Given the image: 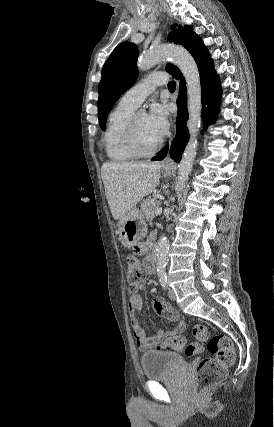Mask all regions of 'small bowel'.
I'll return each instance as SVG.
<instances>
[{
	"label": "small bowel",
	"instance_id": "obj_1",
	"mask_svg": "<svg viewBox=\"0 0 274 427\" xmlns=\"http://www.w3.org/2000/svg\"><path fill=\"white\" fill-rule=\"evenodd\" d=\"M148 243L149 242L145 241L137 246V251L139 254L143 255L146 252ZM143 265L146 271L149 273L153 272L156 268L147 258H144ZM150 304L152 308H156L158 313H169L170 311L169 299H152ZM127 306L130 313V324L133 330L136 345L143 353L158 348L162 340L179 335L186 329L185 322L177 314L174 318L171 319L172 321L177 322V327L174 330H161L155 336L147 337L137 318V314H141L144 309L143 297L139 293H133L128 299Z\"/></svg>",
	"mask_w": 274,
	"mask_h": 427
}]
</instances>
